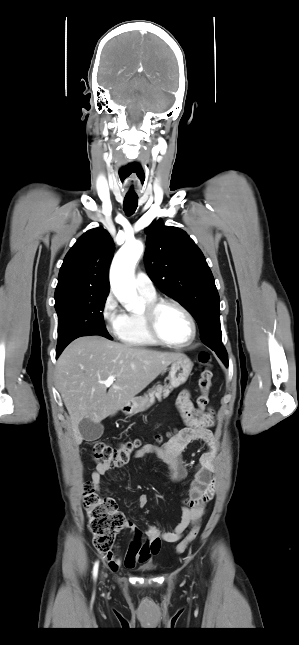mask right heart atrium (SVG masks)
I'll use <instances>...</instances> for the list:
<instances>
[{
    "instance_id": "1",
    "label": "right heart atrium",
    "mask_w": 299,
    "mask_h": 645,
    "mask_svg": "<svg viewBox=\"0 0 299 645\" xmlns=\"http://www.w3.org/2000/svg\"><path fill=\"white\" fill-rule=\"evenodd\" d=\"M101 317L106 330L110 334L117 336L123 323V313L119 308L115 296L111 292L106 295L103 301Z\"/></svg>"
}]
</instances>
